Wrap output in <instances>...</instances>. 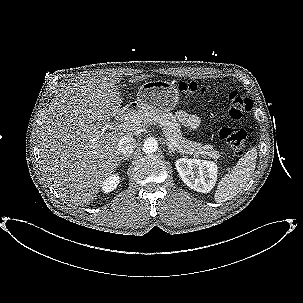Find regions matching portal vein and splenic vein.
Returning a JSON list of instances; mask_svg holds the SVG:
<instances>
[{"mask_svg":"<svg viewBox=\"0 0 303 303\" xmlns=\"http://www.w3.org/2000/svg\"><path fill=\"white\" fill-rule=\"evenodd\" d=\"M139 125H140V124H138V123L130 124V123H128V122H124V123L119 124L118 126H115V127L112 126V129H113V130H118V129H131V128L137 129V128H139ZM164 135H165V137L167 138V140L169 141V143H171L172 145H174L175 147H177L180 151H182V149H181L178 145H176V144L173 142L172 138L170 137V135L167 133L166 130H164Z\"/></svg>","mask_w":303,"mask_h":303,"instance_id":"portal-vein-and-splenic-vein-1","label":"portal vein and splenic vein"}]
</instances>
